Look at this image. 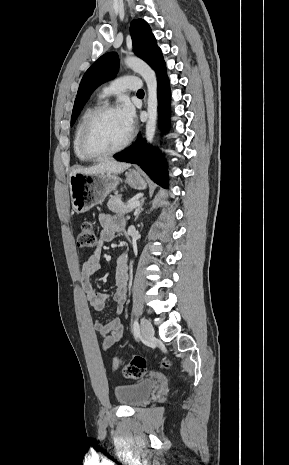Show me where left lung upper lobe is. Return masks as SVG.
Masks as SVG:
<instances>
[{"label": "left lung upper lobe", "instance_id": "left-lung-upper-lobe-1", "mask_svg": "<svg viewBox=\"0 0 289 465\" xmlns=\"http://www.w3.org/2000/svg\"><path fill=\"white\" fill-rule=\"evenodd\" d=\"M130 33L135 54L147 62L156 72L157 77L166 73V65L157 41L151 33L148 23L142 19L133 20ZM119 57L115 52L101 56L85 72L75 99L71 125L87 102L91 93L102 83L114 78L118 71Z\"/></svg>", "mask_w": 289, "mask_h": 465}]
</instances>
